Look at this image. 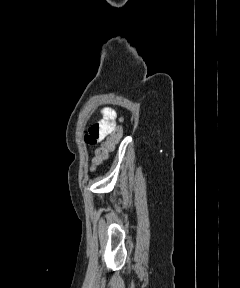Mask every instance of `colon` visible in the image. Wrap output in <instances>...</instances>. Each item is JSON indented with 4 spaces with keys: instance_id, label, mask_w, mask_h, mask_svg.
<instances>
[{
    "instance_id": "colon-1",
    "label": "colon",
    "mask_w": 240,
    "mask_h": 288,
    "mask_svg": "<svg viewBox=\"0 0 240 288\" xmlns=\"http://www.w3.org/2000/svg\"><path fill=\"white\" fill-rule=\"evenodd\" d=\"M118 136H119V130H116L113 136L96 151V155L94 158V165H98L103 160L106 159L108 152L113 148Z\"/></svg>"
}]
</instances>
